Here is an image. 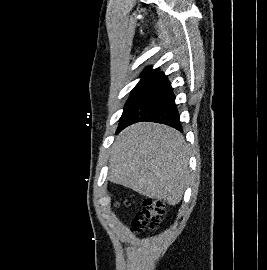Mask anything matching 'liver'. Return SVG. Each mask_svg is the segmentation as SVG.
Returning a JSON list of instances; mask_svg holds the SVG:
<instances>
[{
	"mask_svg": "<svg viewBox=\"0 0 267 270\" xmlns=\"http://www.w3.org/2000/svg\"><path fill=\"white\" fill-rule=\"evenodd\" d=\"M188 161L181 133L162 124L140 122L116 137L108 178L141 195L176 205L189 181Z\"/></svg>",
	"mask_w": 267,
	"mask_h": 270,
	"instance_id": "liver-1",
	"label": "liver"
}]
</instances>
